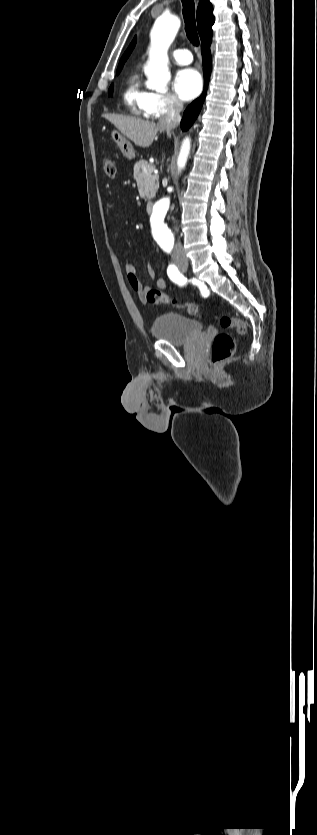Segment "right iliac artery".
<instances>
[{
	"instance_id": "right-iliac-artery-1",
	"label": "right iliac artery",
	"mask_w": 317,
	"mask_h": 835,
	"mask_svg": "<svg viewBox=\"0 0 317 835\" xmlns=\"http://www.w3.org/2000/svg\"><path fill=\"white\" fill-rule=\"evenodd\" d=\"M167 274L169 278L176 284L183 286L186 283V279L180 273L178 268L174 264H170L167 268Z\"/></svg>"
}]
</instances>
